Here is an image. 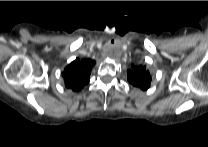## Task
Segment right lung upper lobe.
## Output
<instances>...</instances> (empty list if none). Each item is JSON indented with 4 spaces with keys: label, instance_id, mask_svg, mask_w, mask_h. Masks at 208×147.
<instances>
[{
    "label": "right lung upper lobe",
    "instance_id": "1",
    "mask_svg": "<svg viewBox=\"0 0 208 147\" xmlns=\"http://www.w3.org/2000/svg\"><path fill=\"white\" fill-rule=\"evenodd\" d=\"M95 65L94 60L76 59L71 62L63 71L65 86L73 91H80L90 79L92 67Z\"/></svg>",
    "mask_w": 208,
    "mask_h": 147
}]
</instances>
